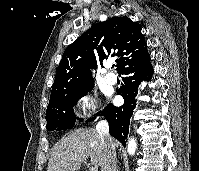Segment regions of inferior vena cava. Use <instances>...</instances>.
I'll return each mask as SVG.
<instances>
[{
	"mask_svg": "<svg viewBox=\"0 0 199 171\" xmlns=\"http://www.w3.org/2000/svg\"><path fill=\"white\" fill-rule=\"evenodd\" d=\"M96 130L100 136L105 140L107 145V154L102 166V171H117L116 170V147L113 139L109 134V124L106 120H101L96 126Z\"/></svg>",
	"mask_w": 199,
	"mask_h": 171,
	"instance_id": "602c4592",
	"label": "inferior vena cava"
}]
</instances>
